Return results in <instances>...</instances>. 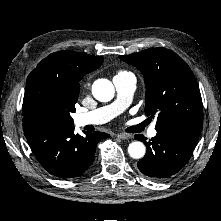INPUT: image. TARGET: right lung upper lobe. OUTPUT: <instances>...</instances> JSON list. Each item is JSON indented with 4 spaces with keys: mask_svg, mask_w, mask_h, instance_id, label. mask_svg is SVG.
<instances>
[{
    "mask_svg": "<svg viewBox=\"0 0 221 221\" xmlns=\"http://www.w3.org/2000/svg\"><path fill=\"white\" fill-rule=\"evenodd\" d=\"M103 59L74 51L52 53L29 74L25 89L35 82L42 81L54 89L63 100L76 103L79 81L85 74L98 69Z\"/></svg>",
    "mask_w": 221,
    "mask_h": 221,
    "instance_id": "right-lung-upper-lobe-1",
    "label": "right lung upper lobe"
}]
</instances>
